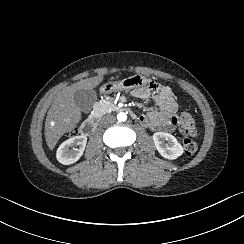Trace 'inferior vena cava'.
Returning <instances> with one entry per match:
<instances>
[{
  "mask_svg": "<svg viewBox=\"0 0 244 244\" xmlns=\"http://www.w3.org/2000/svg\"><path fill=\"white\" fill-rule=\"evenodd\" d=\"M115 117H113V116H108L107 118H106V121H111V122H115Z\"/></svg>",
  "mask_w": 244,
  "mask_h": 244,
  "instance_id": "602c4592",
  "label": "inferior vena cava"
}]
</instances>
